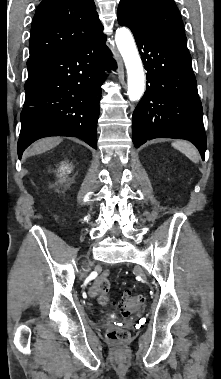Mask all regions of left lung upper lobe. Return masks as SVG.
Segmentation results:
<instances>
[{"label":"left lung upper lobe","instance_id":"1","mask_svg":"<svg viewBox=\"0 0 221 379\" xmlns=\"http://www.w3.org/2000/svg\"><path fill=\"white\" fill-rule=\"evenodd\" d=\"M118 10L126 11L151 32L186 42L181 15L173 0H120Z\"/></svg>","mask_w":221,"mask_h":379}]
</instances>
